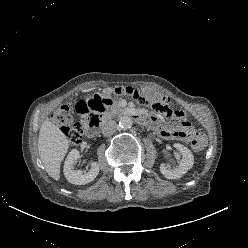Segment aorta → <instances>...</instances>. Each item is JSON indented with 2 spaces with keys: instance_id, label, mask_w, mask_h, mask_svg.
<instances>
[{
  "instance_id": "762f6f07",
  "label": "aorta",
  "mask_w": 248,
  "mask_h": 248,
  "mask_svg": "<svg viewBox=\"0 0 248 248\" xmlns=\"http://www.w3.org/2000/svg\"><path fill=\"white\" fill-rule=\"evenodd\" d=\"M132 125H133V120L129 116H122L119 120V126L124 130L130 129Z\"/></svg>"
}]
</instances>
